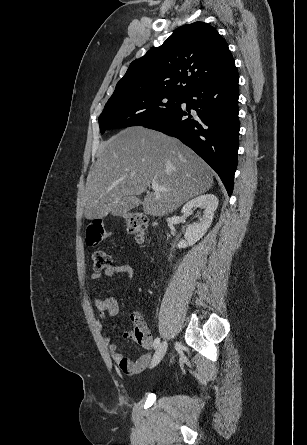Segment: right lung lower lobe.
Returning a JSON list of instances; mask_svg holds the SVG:
<instances>
[{
    "label": "right lung lower lobe",
    "instance_id": "98d812e1",
    "mask_svg": "<svg viewBox=\"0 0 307 445\" xmlns=\"http://www.w3.org/2000/svg\"><path fill=\"white\" fill-rule=\"evenodd\" d=\"M238 73L235 64L221 75L184 95L181 104L165 116L143 125L180 139L219 175L232 194L238 155ZM190 109L195 110L190 114ZM184 116H188L185 119Z\"/></svg>",
    "mask_w": 307,
    "mask_h": 445
}]
</instances>
